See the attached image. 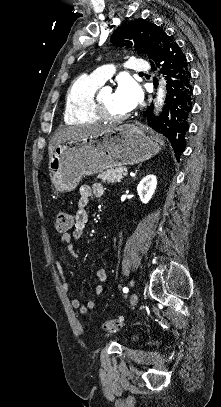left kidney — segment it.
<instances>
[{
    "label": "left kidney",
    "mask_w": 221,
    "mask_h": 407,
    "mask_svg": "<svg viewBox=\"0 0 221 407\" xmlns=\"http://www.w3.org/2000/svg\"><path fill=\"white\" fill-rule=\"evenodd\" d=\"M157 187V178L155 175H147L137 186V193L142 203L147 204Z\"/></svg>",
    "instance_id": "left-kidney-1"
}]
</instances>
